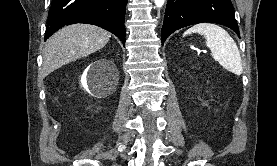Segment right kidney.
Listing matches in <instances>:
<instances>
[{
    "instance_id": "right-kidney-1",
    "label": "right kidney",
    "mask_w": 277,
    "mask_h": 166,
    "mask_svg": "<svg viewBox=\"0 0 277 166\" xmlns=\"http://www.w3.org/2000/svg\"><path fill=\"white\" fill-rule=\"evenodd\" d=\"M104 63H106L105 60H101V61H97L95 64L97 65V67H101ZM90 66L88 67V69L85 71V73L82 76V85L83 87L88 90V86H87V81L90 80L93 76V71L91 69H89Z\"/></svg>"
}]
</instances>
